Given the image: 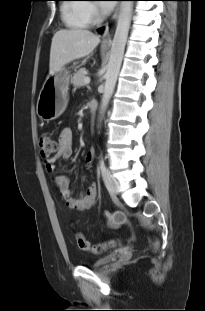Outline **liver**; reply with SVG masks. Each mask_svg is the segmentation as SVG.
<instances>
[{"label":"liver","mask_w":205,"mask_h":311,"mask_svg":"<svg viewBox=\"0 0 205 311\" xmlns=\"http://www.w3.org/2000/svg\"><path fill=\"white\" fill-rule=\"evenodd\" d=\"M100 42V37L86 29L57 31L51 43L49 72L60 71L66 64L90 55Z\"/></svg>","instance_id":"obj_1"}]
</instances>
